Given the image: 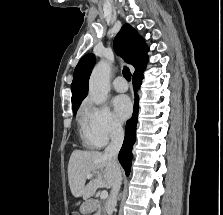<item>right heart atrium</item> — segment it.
I'll use <instances>...</instances> for the list:
<instances>
[{
  "label": "right heart atrium",
  "instance_id": "right-heart-atrium-1",
  "mask_svg": "<svg viewBox=\"0 0 223 215\" xmlns=\"http://www.w3.org/2000/svg\"><path fill=\"white\" fill-rule=\"evenodd\" d=\"M81 120L82 125L99 145H104L122 133L120 123L106 106L85 104Z\"/></svg>",
  "mask_w": 223,
  "mask_h": 215
}]
</instances>
